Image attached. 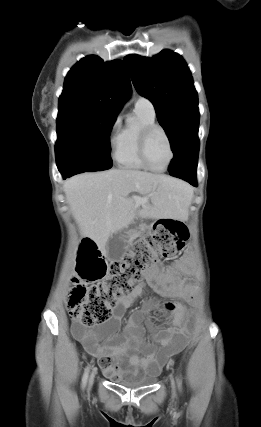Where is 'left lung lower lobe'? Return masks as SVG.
<instances>
[{
  "mask_svg": "<svg viewBox=\"0 0 261 427\" xmlns=\"http://www.w3.org/2000/svg\"><path fill=\"white\" fill-rule=\"evenodd\" d=\"M198 153V130H195L185 135L177 146L169 167L170 175L181 178L196 187Z\"/></svg>",
  "mask_w": 261,
  "mask_h": 427,
  "instance_id": "0a47b994",
  "label": "left lung lower lobe"
}]
</instances>
